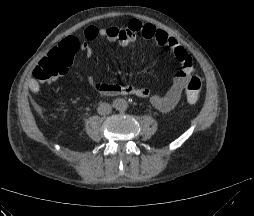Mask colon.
<instances>
[{
    "label": "colon",
    "mask_w": 254,
    "mask_h": 216,
    "mask_svg": "<svg viewBox=\"0 0 254 216\" xmlns=\"http://www.w3.org/2000/svg\"><path fill=\"white\" fill-rule=\"evenodd\" d=\"M71 54L66 50L52 49L35 67L36 80L44 85L54 83L57 78L65 73L70 66ZM202 89V78L191 75L185 86L186 99L189 103L197 102Z\"/></svg>",
    "instance_id": "obj_1"
}]
</instances>
